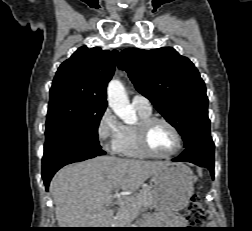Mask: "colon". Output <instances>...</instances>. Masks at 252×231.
<instances>
[{"instance_id":"obj_1","label":"colon","mask_w":252,"mask_h":231,"mask_svg":"<svg viewBox=\"0 0 252 231\" xmlns=\"http://www.w3.org/2000/svg\"><path fill=\"white\" fill-rule=\"evenodd\" d=\"M186 220L192 227H197L205 222V213L201 204V196L194 195L186 208Z\"/></svg>"}]
</instances>
